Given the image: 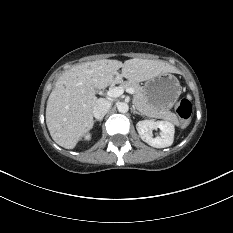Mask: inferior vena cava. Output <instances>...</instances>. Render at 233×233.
Listing matches in <instances>:
<instances>
[{"label":"inferior vena cava","mask_w":233,"mask_h":233,"mask_svg":"<svg viewBox=\"0 0 233 233\" xmlns=\"http://www.w3.org/2000/svg\"><path fill=\"white\" fill-rule=\"evenodd\" d=\"M111 107V102L106 99H98L93 108V115L96 119H102Z\"/></svg>","instance_id":"obj_1"}]
</instances>
